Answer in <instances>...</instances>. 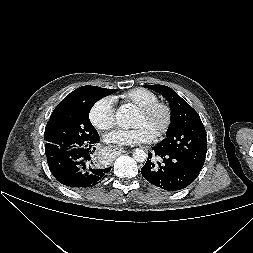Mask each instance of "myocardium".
Segmentation results:
<instances>
[{
	"label": "myocardium",
	"mask_w": 253,
	"mask_h": 253,
	"mask_svg": "<svg viewBox=\"0 0 253 253\" xmlns=\"http://www.w3.org/2000/svg\"><path fill=\"white\" fill-rule=\"evenodd\" d=\"M157 110H161L165 114L164 124L161 129L155 134V138L160 139L168 133L173 123V111L170 105L164 102L156 101L137 108V111L144 115H150Z\"/></svg>",
	"instance_id": "f54148a6"
}]
</instances>
